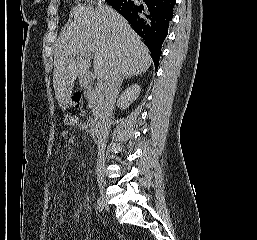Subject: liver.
I'll return each mask as SVG.
<instances>
[{"instance_id":"1","label":"liver","mask_w":257,"mask_h":240,"mask_svg":"<svg viewBox=\"0 0 257 240\" xmlns=\"http://www.w3.org/2000/svg\"><path fill=\"white\" fill-rule=\"evenodd\" d=\"M73 19L60 35L56 46L53 87L56 99L66 109L77 76L87 79L94 57V78L106 82L112 71L119 69L122 77L142 74L152 59L141 38L112 7L77 5Z\"/></svg>"}]
</instances>
